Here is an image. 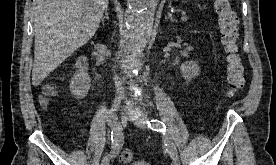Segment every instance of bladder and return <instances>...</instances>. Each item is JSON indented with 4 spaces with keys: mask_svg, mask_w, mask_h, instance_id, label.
<instances>
[{
    "mask_svg": "<svg viewBox=\"0 0 276 165\" xmlns=\"http://www.w3.org/2000/svg\"><path fill=\"white\" fill-rule=\"evenodd\" d=\"M130 165H150V164L147 162H144V161H135V162L131 163Z\"/></svg>",
    "mask_w": 276,
    "mask_h": 165,
    "instance_id": "31cf9c89",
    "label": "bladder"
}]
</instances>
